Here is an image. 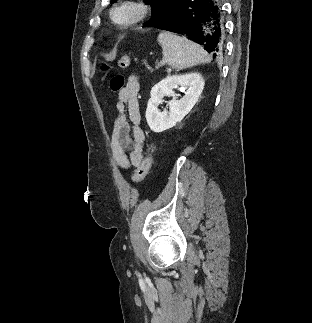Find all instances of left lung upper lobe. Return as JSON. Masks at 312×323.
I'll return each instance as SVG.
<instances>
[{
    "label": "left lung upper lobe",
    "instance_id": "left-lung-upper-lobe-1",
    "mask_svg": "<svg viewBox=\"0 0 312 323\" xmlns=\"http://www.w3.org/2000/svg\"><path fill=\"white\" fill-rule=\"evenodd\" d=\"M116 0H112L114 2ZM146 4L151 5L152 17L150 20L144 23L143 27H157L162 21H164L167 15L170 13L172 4L176 0H144Z\"/></svg>",
    "mask_w": 312,
    "mask_h": 323
}]
</instances>
